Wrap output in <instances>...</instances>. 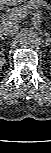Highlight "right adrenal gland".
<instances>
[{"label":"right adrenal gland","instance_id":"right-adrenal-gland-1","mask_svg":"<svg viewBox=\"0 0 51 153\" xmlns=\"http://www.w3.org/2000/svg\"><path fill=\"white\" fill-rule=\"evenodd\" d=\"M5 39H6L5 37L0 36V41H3V40H5Z\"/></svg>","mask_w":51,"mask_h":153}]
</instances>
